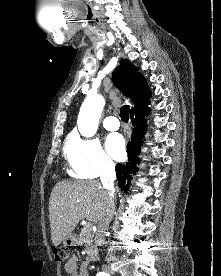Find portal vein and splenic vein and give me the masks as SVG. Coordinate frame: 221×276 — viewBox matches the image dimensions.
I'll return each instance as SVG.
<instances>
[{
	"label": "portal vein and splenic vein",
	"instance_id": "1",
	"mask_svg": "<svg viewBox=\"0 0 221 276\" xmlns=\"http://www.w3.org/2000/svg\"><path fill=\"white\" fill-rule=\"evenodd\" d=\"M86 226H87V227H90V226H91V224H90V223H88Z\"/></svg>",
	"mask_w": 221,
	"mask_h": 276
}]
</instances>
